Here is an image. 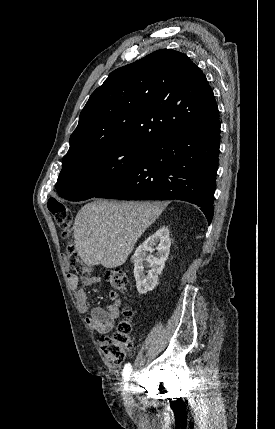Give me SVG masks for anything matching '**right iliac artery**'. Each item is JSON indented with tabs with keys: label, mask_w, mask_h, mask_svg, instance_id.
<instances>
[{
	"label": "right iliac artery",
	"mask_w": 275,
	"mask_h": 429,
	"mask_svg": "<svg viewBox=\"0 0 275 429\" xmlns=\"http://www.w3.org/2000/svg\"><path fill=\"white\" fill-rule=\"evenodd\" d=\"M132 372V366L130 363H127L123 368V379L124 382L128 381ZM126 388V386H125Z\"/></svg>",
	"instance_id": "right-iliac-artery-1"
}]
</instances>
